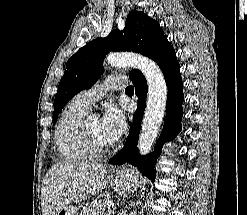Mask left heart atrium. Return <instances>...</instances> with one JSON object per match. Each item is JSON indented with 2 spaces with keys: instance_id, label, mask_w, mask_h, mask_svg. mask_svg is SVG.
<instances>
[{
  "instance_id": "39dd6f15",
  "label": "left heart atrium",
  "mask_w": 247,
  "mask_h": 215,
  "mask_svg": "<svg viewBox=\"0 0 247 215\" xmlns=\"http://www.w3.org/2000/svg\"><path fill=\"white\" fill-rule=\"evenodd\" d=\"M101 127L110 144L118 140L127 128L126 118L122 110L115 106H109L101 120Z\"/></svg>"
}]
</instances>
